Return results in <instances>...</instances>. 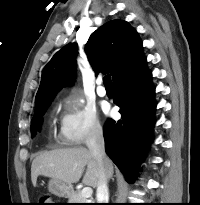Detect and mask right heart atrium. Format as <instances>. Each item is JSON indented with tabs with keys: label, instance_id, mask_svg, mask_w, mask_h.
Here are the masks:
<instances>
[{
	"label": "right heart atrium",
	"instance_id": "d8ad5b80",
	"mask_svg": "<svg viewBox=\"0 0 200 205\" xmlns=\"http://www.w3.org/2000/svg\"><path fill=\"white\" fill-rule=\"evenodd\" d=\"M58 139L64 145H82L102 134L97 114L74 98L65 99L61 105Z\"/></svg>",
	"mask_w": 200,
	"mask_h": 205
}]
</instances>
